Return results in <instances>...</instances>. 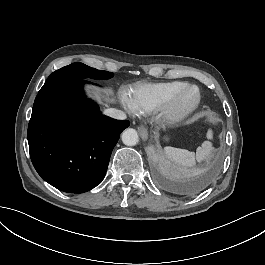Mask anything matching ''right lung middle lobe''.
Instances as JSON below:
<instances>
[{"mask_svg": "<svg viewBox=\"0 0 265 265\" xmlns=\"http://www.w3.org/2000/svg\"><path fill=\"white\" fill-rule=\"evenodd\" d=\"M112 76V72L97 70L83 63H73L53 72L48 77L45 85L64 81L80 80L85 78H92L96 80L109 79Z\"/></svg>", "mask_w": 265, "mask_h": 265, "instance_id": "1", "label": "right lung middle lobe"}]
</instances>
